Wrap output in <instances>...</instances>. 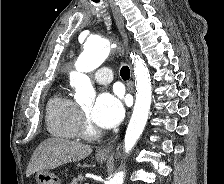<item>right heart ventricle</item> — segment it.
I'll use <instances>...</instances> for the list:
<instances>
[{
    "label": "right heart ventricle",
    "mask_w": 224,
    "mask_h": 184,
    "mask_svg": "<svg viewBox=\"0 0 224 184\" xmlns=\"http://www.w3.org/2000/svg\"><path fill=\"white\" fill-rule=\"evenodd\" d=\"M81 112L78 104L63 92L53 95L46 106V126L55 137H78Z\"/></svg>",
    "instance_id": "1"
}]
</instances>
